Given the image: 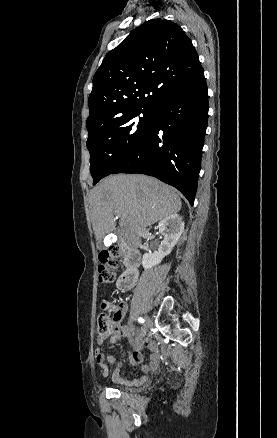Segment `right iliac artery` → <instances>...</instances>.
I'll list each match as a JSON object with an SVG mask.
<instances>
[{
    "label": "right iliac artery",
    "mask_w": 277,
    "mask_h": 438,
    "mask_svg": "<svg viewBox=\"0 0 277 438\" xmlns=\"http://www.w3.org/2000/svg\"><path fill=\"white\" fill-rule=\"evenodd\" d=\"M138 322H139L140 324H143V323H144V319H143L142 317H139Z\"/></svg>",
    "instance_id": "82829eb1"
}]
</instances>
